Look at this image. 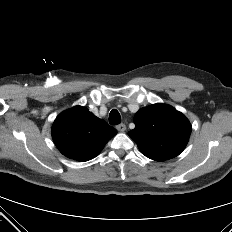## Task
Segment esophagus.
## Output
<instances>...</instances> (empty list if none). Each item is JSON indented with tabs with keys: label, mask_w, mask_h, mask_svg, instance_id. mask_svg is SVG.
<instances>
[{
	"label": "esophagus",
	"mask_w": 232,
	"mask_h": 232,
	"mask_svg": "<svg viewBox=\"0 0 232 232\" xmlns=\"http://www.w3.org/2000/svg\"><path fill=\"white\" fill-rule=\"evenodd\" d=\"M116 129L119 131V132H124L126 130V125L125 124H119L116 126Z\"/></svg>",
	"instance_id": "esophagus-1"
}]
</instances>
